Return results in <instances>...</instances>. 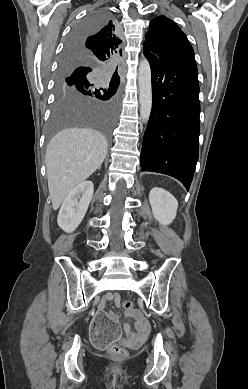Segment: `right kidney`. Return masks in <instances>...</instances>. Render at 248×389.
<instances>
[{
    "label": "right kidney",
    "instance_id": "obj_1",
    "mask_svg": "<svg viewBox=\"0 0 248 389\" xmlns=\"http://www.w3.org/2000/svg\"><path fill=\"white\" fill-rule=\"evenodd\" d=\"M93 192L91 181H84L69 192L57 218V223L62 230L70 233L79 226L87 212Z\"/></svg>",
    "mask_w": 248,
    "mask_h": 389
}]
</instances>
